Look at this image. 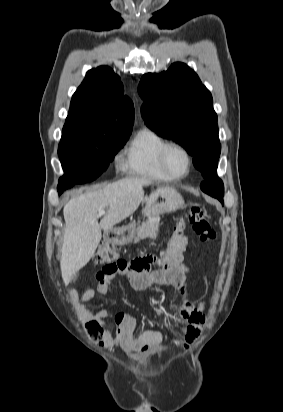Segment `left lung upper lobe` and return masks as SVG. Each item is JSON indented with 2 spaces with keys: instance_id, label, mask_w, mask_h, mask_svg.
<instances>
[{
  "instance_id": "5c2ea615",
  "label": "left lung upper lobe",
  "mask_w": 283,
  "mask_h": 412,
  "mask_svg": "<svg viewBox=\"0 0 283 412\" xmlns=\"http://www.w3.org/2000/svg\"><path fill=\"white\" fill-rule=\"evenodd\" d=\"M138 92L145 100L141 112L147 126L184 146L202 172L205 193L223 200L222 180H212L221 151L217 115L197 74L184 63H174L159 75H144Z\"/></svg>"
}]
</instances>
